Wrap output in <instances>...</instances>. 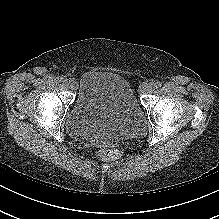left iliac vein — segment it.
I'll return each mask as SVG.
<instances>
[{
    "mask_svg": "<svg viewBox=\"0 0 219 219\" xmlns=\"http://www.w3.org/2000/svg\"><path fill=\"white\" fill-rule=\"evenodd\" d=\"M154 90L153 83H144L140 86V92L143 94L151 93Z\"/></svg>",
    "mask_w": 219,
    "mask_h": 219,
    "instance_id": "1",
    "label": "left iliac vein"
}]
</instances>
